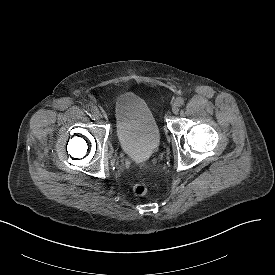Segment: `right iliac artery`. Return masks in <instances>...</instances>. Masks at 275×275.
I'll list each match as a JSON object with an SVG mask.
<instances>
[{"instance_id":"1","label":"right iliac artery","mask_w":275,"mask_h":275,"mask_svg":"<svg viewBox=\"0 0 275 275\" xmlns=\"http://www.w3.org/2000/svg\"><path fill=\"white\" fill-rule=\"evenodd\" d=\"M93 108H94V106H93L92 104H88V105L86 106V110H87V111H90V112L93 111Z\"/></svg>"}]
</instances>
